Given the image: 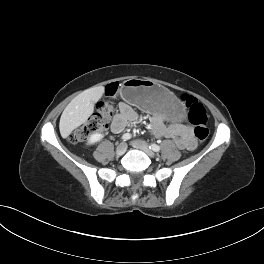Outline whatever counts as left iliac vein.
<instances>
[{"instance_id": "left-iliac-vein-1", "label": "left iliac vein", "mask_w": 264, "mask_h": 264, "mask_svg": "<svg viewBox=\"0 0 264 264\" xmlns=\"http://www.w3.org/2000/svg\"><path fill=\"white\" fill-rule=\"evenodd\" d=\"M132 146L136 149L144 151L149 157H154V152L149 148L148 144L141 140H135L132 142Z\"/></svg>"}]
</instances>
